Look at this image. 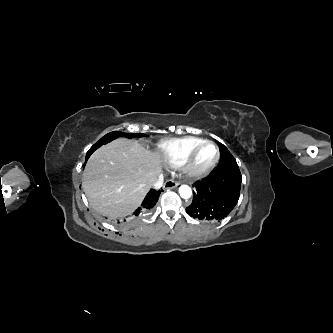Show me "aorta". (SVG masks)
Here are the masks:
<instances>
[{"mask_svg":"<svg viewBox=\"0 0 333 333\" xmlns=\"http://www.w3.org/2000/svg\"><path fill=\"white\" fill-rule=\"evenodd\" d=\"M179 194L182 198L188 199L192 195V190L188 185H182L179 188Z\"/></svg>","mask_w":333,"mask_h":333,"instance_id":"1","label":"aorta"}]
</instances>
